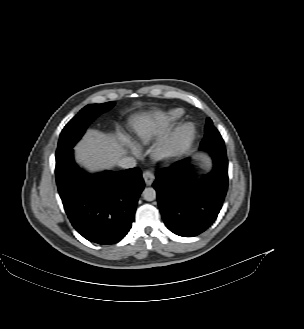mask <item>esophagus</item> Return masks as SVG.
Segmentation results:
<instances>
[{
  "label": "esophagus",
  "instance_id": "esophagus-1",
  "mask_svg": "<svg viewBox=\"0 0 304 329\" xmlns=\"http://www.w3.org/2000/svg\"><path fill=\"white\" fill-rule=\"evenodd\" d=\"M143 179H144L146 185L150 186L153 183V181L155 179V176H154V174L152 172L145 171L143 173Z\"/></svg>",
  "mask_w": 304,
  "mask_h": 329
}]
</instances>
